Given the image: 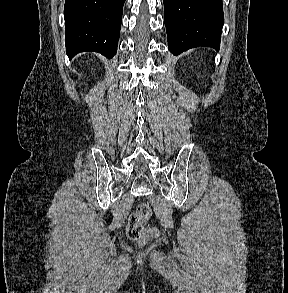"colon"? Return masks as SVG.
<instances>
[{
  "mask_svg": "<svg viewBox=\"0 0 288 293\" xmlns=\"http://www.w3.org/2000/svg\"><path fill=\"white\" fill-rule=\"evenodd\" d=\"M151 216V208L147 203H141L136 210L130 215L126 233L129 239L142 245L154 239L158 235L155 228H146L144 223Z\"/></svg>",
  "mask_w": 288,
  "mask_h": 293,
  "instance_id": "1",
  "label": "colon"
}]
</instances>
